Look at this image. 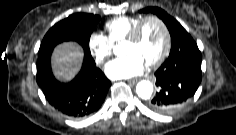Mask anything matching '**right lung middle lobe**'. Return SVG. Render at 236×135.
Wrapping results in <instances>:
<instances>
[{
	"mask_svg": "<svg viewBox=\"0 0 236 135\" xmlns=\"http://www.w3.org/2000/svg\"><path fill=\"white\" fill-rule=\"evenodd\" d=\"M100 16L76 13L56 23L44 36L39 56L51 53L54 47L63 41H76L90 53L89 40L94 27L97 25Z\"/></svg>",
	"mask_w": 236,
	"mask_h": 135,
	"instance_id": "1",
	"label": "right lung middle lobe"
}]
</instances>
